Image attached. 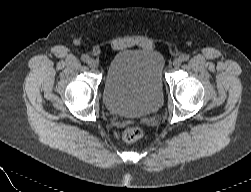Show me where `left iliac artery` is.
Returning a JSON list of instances; mask_svg holds the SVG:
<instances>
[{"label": "left iliac artery", "instance_id": "obj_1", "mask_svg": "<svg viewBox=\"0 0 251 192\" xmlns=\"http://www.w3.org/2000/svg\"><path fill=\"white\" fill-rule=\"evenodd\" d=\"M182 61H187L189 59V55H182L180 58Z\"/></svg>", "mask_w": 251, "mask_h": 192}]
</instances>
